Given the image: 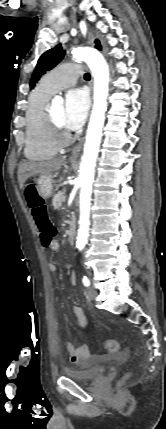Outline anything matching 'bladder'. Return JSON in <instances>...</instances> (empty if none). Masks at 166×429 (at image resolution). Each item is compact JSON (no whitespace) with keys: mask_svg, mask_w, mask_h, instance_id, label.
Masks as SVG:
<instances>
[{"mask_svg":"<svg viewBox=\"0 0 166 429\" xmlns=\"http://www.w3.org/2000/svg\"><path fill=\"white\" fill-rule=\"evenodd\" d=\"M107 366H96L83 370L64 369V374L77 382H91L104 375Z\"/></svg>","mask_w":166,"mask_h":429,"instance_id":"1","label":"bladder"}]
</instances>
